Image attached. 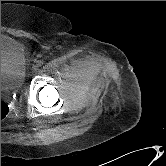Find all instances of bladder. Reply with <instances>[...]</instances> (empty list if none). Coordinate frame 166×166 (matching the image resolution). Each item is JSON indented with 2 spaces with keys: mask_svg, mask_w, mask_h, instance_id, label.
Masks as SVG:
<instances>
[{
  "mask_svg": "<svg viewBox=\"0 0 166 166\" xmlns=\"http://www.w3.org/2000/svg\"><path fill=\"white\" fill-rule=\"evenodd\" d=\"M25 57L15 39L1 35V91L19 89L25 80Z\"/></svg>",
  "mask_w": 166,
  "mask_h": 166,
  "instance_id": "1",
  "label": "bladder"
}]
</instances>
